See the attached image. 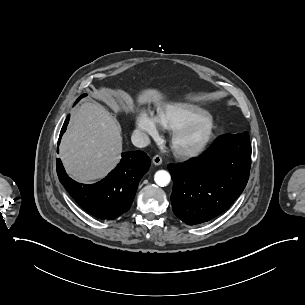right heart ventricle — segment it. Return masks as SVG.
<instances>
[{
	"instance_id": "e07e8e85",
	"label": "right heart ventricle",
	"mask_w": 305,
	"mask_h": 305,
	"mask_svg": "<svg viewBox=\"0 0 305 305\" xmlns=\"http://www.w3.org/2000/svg\"><path fill=\"white\" fill-rule=\"evenodd\" d=\"M209 115L211 113L199 105L177 102L161 108L157 112L156 121L161 129L175 132L181 126Z\"/></svg>"
}]
</instances>
